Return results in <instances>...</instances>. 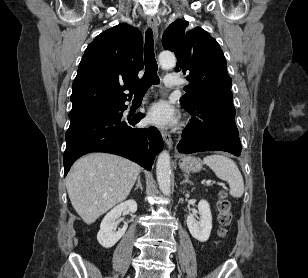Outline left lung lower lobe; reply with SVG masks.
Listing matches in <instances>:
<instances>
[{
  "instance_id": "obj_1",
  "label": "left lung lower lobe",
  "mask_w": 308,
  "mask_h": 278,
  "mask_svg": "<svg viewBox=\"0 0 308 278\" xmlns=\"http://www.w3.org/2000/svg\"><path fill=\"white\" fill-rule=\"evenodd\" d=\"M185 109L192 118L177 146L180 153L220 150L240 155L242 146L235 124L236 111L231 91L211 94L197 105Z\"/></svg>"
}]
</instances>
